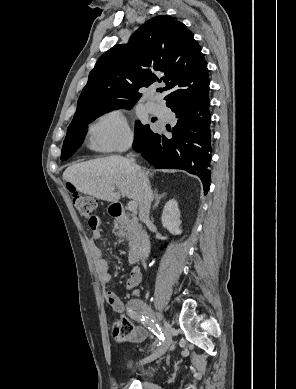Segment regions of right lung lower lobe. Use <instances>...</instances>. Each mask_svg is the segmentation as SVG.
I'll list each match as a JSON object with an SVG mask.
<instances>
[{
	"label": "right lung lower lobe",
	"mask_w": 296,
	"mask_h": 389,
	"mask_svg": "<svg viewBox=\"0 0 296 389\" xmlns=\"http://www.w3.org/2000/svg\"><path fill=\"white\" fill-rule=\"evenodd\" d=\"M169 108L178 119L172 136L152 132L141 147L133 148L158 169H182L197 175L207 194L212 156L209 88Z\"/></svg>",
	"instance_id": "obj_1"
}]
</instances>
